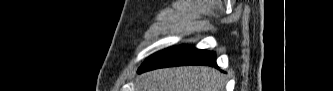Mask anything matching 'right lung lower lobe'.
Listing matches in <instances>:
<instances>
[{
	"mask_svg": "<svg viewBox=\"0 0 333 91\" xmlns=\"http://www.w3.org/2000/svg\"><path fill=\"white\" fill-rule=\"evenodd\" d=\"M182 65H216V56L214 52L198 50L191 46H175L165 49L148 58L138 72Z\"/></svg>",
	"mask_w": 333,
	"mask_h": 91,
	"instance_id": "1",
	"label": "right lung lower lobe"
}]
</instances>
